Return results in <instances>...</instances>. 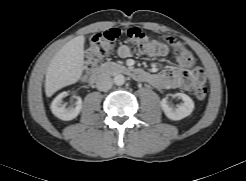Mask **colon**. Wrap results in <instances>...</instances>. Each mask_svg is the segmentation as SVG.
<instances>
[{"label": "colon", "mask_w": 246, "mask_h": 181, "mask_svg": "<svg viewBox=\"0 0 246 181\" xmlns=\"http://www.w3.org/2000/svg\"><path fill=\"white\" fill-rule=\"evenodd\" d=\"M119 36L117 29H109L97 33L90 41L85 60L86 72H91L99 65V63L113 49L116 39ZM127 37L134 45L135 49L141 53L151 57L163 56L171 50L173 53H178L180 48L178 43L172 40H164L161 37H153L139 28H129ZM194 95L197 99L202 100L207 96V88L199 86L195 89Z\"/></svg>", "instance_id": "1"}]
</instances>
